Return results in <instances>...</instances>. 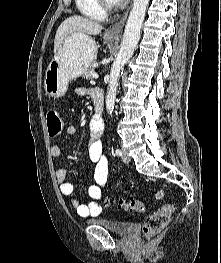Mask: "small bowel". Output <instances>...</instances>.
<instances>
[{
  "mask_svg": "<svg viewBox=\"0 0 221 263\" xmlns=\"http://www.w3.org/2000/svg\"><path fill=\"white\" fill-rule=\"evenodd\" d=\"M95 92L101 91L92 90L90 94L93 96ZM77 93L84 95L86 91L78 89ZM102 130L103 128H96L92 121L87 151L89 160L93 164L95 184L87 186V193L90 197L88 203H82L77 196L73 195L74 185L67 181V170L60 168L56 171V180L60 186L62 195L70 197V205L75 208L77 213L82 217L95 216L102 211V204L100 203L102 198L101 189L107 185L109 174L108 159L104 153L101 141ZM65 131L68 135L74 136L77 133V128L74 125H68ZM50 152L53 157H59L61 155V148L59 145L54 144L51 146Z\"/></svg>",
  "mask_w": 221,
  "mask_h": 263,
  "instance_id": "obj_1",
  "label": "small bowel"
}]
</instances>
